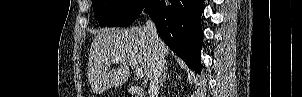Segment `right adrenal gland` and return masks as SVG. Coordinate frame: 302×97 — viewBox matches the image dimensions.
I'll list each match as a JSON object with an SVG mask.
<instances>
[{
  "label": "right adrenal gland",
  "instance_id": "right-adrenal-gland-1",
  "mask_svg": "<svg viewBox=\"0 0 302 97\" xmlns=\"http://www.w3.org/2000/svg\"><path fill=\"white\" fill-rule=\"evenodd\" d=\"M169 76V73H168V66L166 65L165 69H164V73H163V77H162V80H161V86L164 85L165 81H166V78Z\"/></svg>",
  "mask_w": 302,
  "mask_h": 97
}]
</instances>
